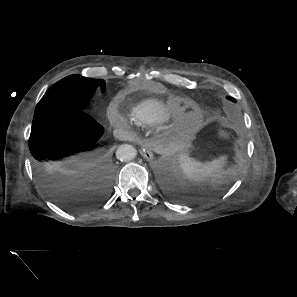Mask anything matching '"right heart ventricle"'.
Here are the masks:
<instances>
[{
    "instance_id": "right-heart-ventricle-1",
    "label": "right heart ventricle",
    "mask_w": 297,
    "mask_h": 297,
    "mask_svg": "<svg viewBox=\"0 0 297 297\" xmlns=\"http://www.w3.org/2000/svg\"><path fill=\"white\" fill-rule=\"evenodd\" d=\"M178 110L157 99H147L130 111L131 121L139 126H154L173 120Z\"/></svg>"
}]
</instances>
